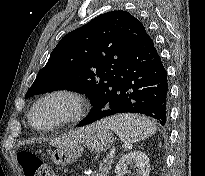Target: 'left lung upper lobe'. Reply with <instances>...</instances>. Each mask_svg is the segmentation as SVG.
<instances>
[{
  "label": "left lung upper lobe",
  "instance_id": "1",
  "mask_svg": "<svg viewBox=\"0 0 205 176\" xmlns=\"http://www.w3.org/2000/svg\"><path fill=\"white\" fill-rule=\"evenodd\" d=\"M145 32L144 25L126 11L95 17L59 41L25 98L67 89L86 93L94 105Z\"/></svg>",
  "mask_w": 205,
  "mask_h": 176
}]
</instances>
